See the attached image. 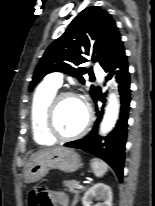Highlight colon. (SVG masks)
Returning a JSON list of instances; mask_svg holds the SVG:
<instances>
[{
	"label": "colon",
	"mask_w": 155,
	"mask_h": 206,
	"mask_svg": "<svg viewBox=\"0 0 155 206\" xmlns=\"http://www.w3.org/2000/svg\"><path fill=\"white\" fill-rule=\"evenodd\" d=\"M44 188H39L30 192L28 197L29 206H40L41 204L48 203V196Z\"/></svg>",
	"instance_id": "5ec220e1"
}]
</instances>
